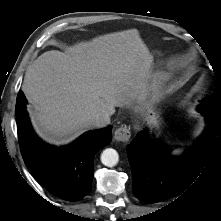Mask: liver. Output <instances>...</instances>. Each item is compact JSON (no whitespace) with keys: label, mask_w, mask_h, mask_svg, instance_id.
I'll list each match as a JSON object with an SVG mask.
<instances>
[{"label":"liver","mask_w":221,"mask_h":221,"mask_svg":"<svg viewBox=\"0 0 221 221\" xmlns=\"http://www.w3.org/2000/svg\"><path fill=\"white\" fill-rule=\"evenodd\" d=\"M153 57L136 29L47 51L27 69L22 90L36 132L55 144L89 130L111 107L142 109Z\"/></svg>","instance_id":"obj_1"}]
</instances>
